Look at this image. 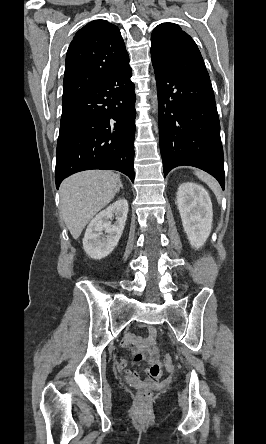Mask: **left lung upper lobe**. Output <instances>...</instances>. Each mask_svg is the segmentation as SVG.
<instances>
[{"label": "left lung upper lobe", "mask_w": 266, "mask_h": 444, "mask_svg": "<svg viewBox=\"0 0 266 444\" xmlns=\"http://www.w3.org/2000/svg\"><path fill=\"white\" fill-rule=\"evenodd\" d=\"M151 43V58L156 63L178 75L209 78L196 43L177 24L155 27Z\"/></svg>", "instance_id": "1"}]
</instances>
